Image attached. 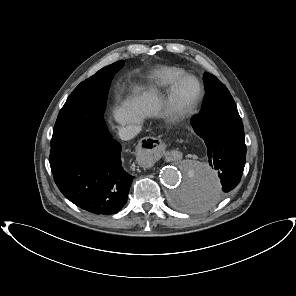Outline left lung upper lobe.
Segmentation results:
<instances>
[{"label": "left lung upper lobe", "instance_id": "1", "mask_svg": "<svg viewBox=\"0 0 296 296\" xmlns=\"http://www.w3.org/2000/svg\"><path fill=\"white\" fill-rule=\"evenodd\" d=\"M204 82L206 89L205 100L215 98L220 95H231L224 84L213 75L205 74Z\"/></svg>", "mask_w": 296, "mask_h": 296}]
</instances>
